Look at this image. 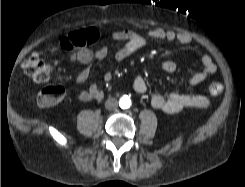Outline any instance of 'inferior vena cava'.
<instances>
[{"instance_id": "inferior-vena-cava-1", "label": "inferior vena cava", "mask_w": 245, "mask_h": 187, "mask_svg": "<svg viewBox=\"0 0 245 187\" xmlns=\"http://www.w3.org/2000/svg\"><path fill=\"white\" fill-rule=\"evenodd\" d=\"M118 107V102L115 98H108L105 102V108L108 110H114Z\"/></svg>"}]
</instances>
